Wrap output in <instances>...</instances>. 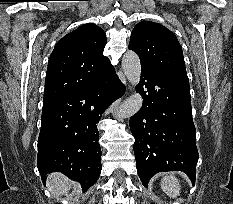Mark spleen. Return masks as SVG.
I'll use <instances>...</instances> for the list:
<instances>
[{"label":"spleen","instance_id":"obj_1","mask_svg":"<svg viewBox=\"0 0 233 204\" xmlns=\"http://www.w3.org/2000/svg\"><path fill=\"white\" fill-rule=\"evenodd\" d=\"M161 188L170 198L179 196L181 189L178 179L173 174L165 175L161 180Z\"/></svg>","mask_w":233,"mask_h":204}]
</instances>
